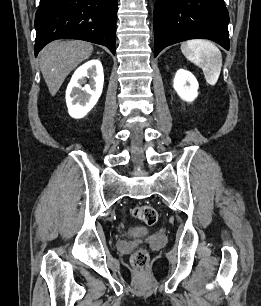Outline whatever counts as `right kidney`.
I'll return each mask as SVG.
<instances>
[{
    "label": "right kidney",
    "instance_id": "obj_1",
    "mask_svg": "<svg viewBox=\"0 0 261 306\" xmlns=\"http://www.w3.org/2000/svg\"><path fill=\"white\" fill-rule=\"evenodd\" d=\"M87 78L89 84H85ZM103 83V67L97 59L86 62L74 72L66 90V104L71 117L83 118L90 112L101 96Z\"/></svg>",
    "mask_w": 261,
    "mask_h": 306
}]
</instances>
